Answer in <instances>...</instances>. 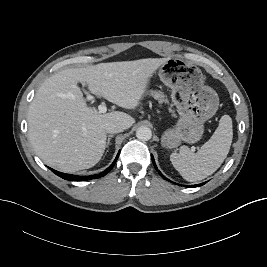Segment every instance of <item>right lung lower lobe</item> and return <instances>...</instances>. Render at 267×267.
<instances>
[{
  "label": "right lung lower lobe",
  "mask_w": 267,
  "mask_h": 267,
  "mask_svg": "<svg viewBox=\"0 0 267 267\" xmlns=\"http://www.w3.org/2000/svg\"><path fill=\"white\" fill-rule=\"evenodd\" d=\"M120 153V152H119ZM119 153L117 155V157L115 158L114 162L103 172L96 174V175H90V176H76V175H70V174H65V173H61L58 172L54 169L49 168L52 172H54L56 175H58L59 177L65 179V180H69V181H86V180H90V179H96V178H100L103 177L104 175H106L115 165Z\"/></svg>",
  "instance_id": "98d812e1"
}]
</instances>
